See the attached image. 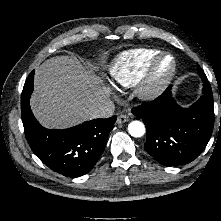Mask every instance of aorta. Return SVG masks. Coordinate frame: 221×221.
<instances>
[{"label": "aorta", "mask_w": 221, "mask_h": 221, "mask_svg": "<svg viewBox=\"0 0 221 221\" xmlns=\"http://www.w3.org/2000/svg\"><path fill=\"white\" fill-rule=\"evenodd\" d=\"M145 126L140 121H132L128 125V132L133 137H142L145 134Z\"/></svg>", "instance_id": "762f6f07"}]
</instances>
